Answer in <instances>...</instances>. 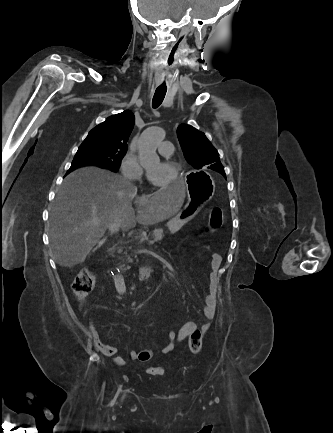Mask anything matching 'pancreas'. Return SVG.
I'll list each match as a JSON object with an SVG mask.
<instances>
[{
	"mask_svg": "<svg viewBox=\"0 0 333 433\" xmlns=\"http://www.w3.org/2000/svg\"><path fill=\"white\" fill-rule=\"evenodd\" d=\"M151 236L153 237L154 241H161L164 236V231L162 229H156L152 232Z\"/></svg>",
	"mask_w": 333,
	"mask_h": 433,
	"instance_id": "pancreas-1",
	"label": "pancreas"
}]
</instances>
